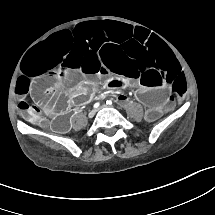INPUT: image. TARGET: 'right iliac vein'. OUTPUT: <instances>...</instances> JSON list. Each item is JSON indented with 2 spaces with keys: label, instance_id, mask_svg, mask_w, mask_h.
Returning a JSON list of instances; mask_svg holds the SVG:
<instances>
[{
  "label": "right iliac vein",
  "instance_id": "right-iliac-vein-1",
  "mask_svg": "<svg viewBox=\"0 0 215 215\" xmlns=\"http://www.w3.org/2000/svg\"><path fill=\"white\" fill-rule=\"evenodd\" d=\"M95 112H96L95 110L90 111L88 117L92 118L95 115Z\"/></svg>",
  "mask_w": 215,
  "mask_h": 215
}]
</instances>
